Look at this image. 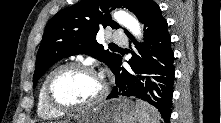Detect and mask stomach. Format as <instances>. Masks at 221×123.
Masks as SVG:
<instances>
[{
	"mask_svg": "<svg viewBox=\"0 0 221 123\" xmlns=\"http://www.w3.org/2000/svg\"><path fill=\"white\" fill-rule=\"evenodd\" d=\"M136 104L127 98H115L89 108L68 123H137Z\"/></svg>",
	"mask_w": 221,
	"mask_h": 123,
	"instance_id": "0dacf381",
	"label": "stomach"
}]
</instances>
